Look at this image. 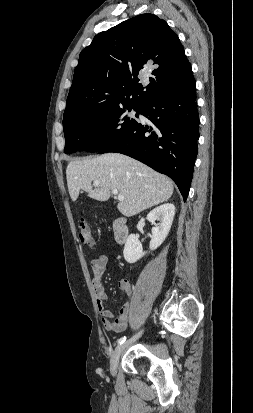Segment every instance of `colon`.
Listing matches in <instances>:
<instances>
[{"mask_svg": "<svg viewBox=\"0 0 253 413\" xmlns=\"http://www.w3.org/2000/svg\"><path fill=\"white\" fill-rule=\"evenodd\" d=\"M78 236L82 243L93 246L94 237L87 222L82 218L78 223Z\"/></svg>", "mask_w": 253, "mask_h": 413, "instance_id": "5ec220e1", "label": "colon"}]
</instances>
